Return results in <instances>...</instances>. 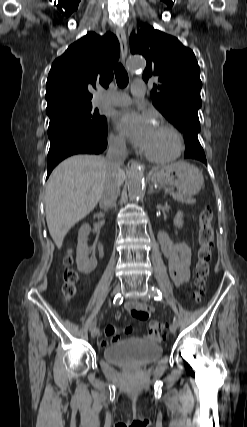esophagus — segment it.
<instances>
[{
  "label": "esophagus",
  "mask_w": 247,
  "mask_h": 427,
  "mask_svg": "<svg viewBox=\"0 0 247 427\" xmlns=\"http://www.w3.org/2000/svg\"><path fill=\"white\" fill-rule=\"evenodd\" d=\"M116 35L121 45L122 62L125 64L127 60V55H128L126 33L122 28H118L116 30ZM137 165H138V162L134 159L129 160L127 163L128 168H133V167H136Z\"/></svg>",
  "instance_id": "1"
}]
</instances>
